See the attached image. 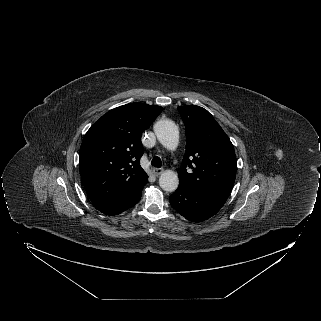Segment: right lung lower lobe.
I'll return each instance as SVG.
<instances>
[{
  "label": "right lung lower lobe",
  "mask_w": 321,
  "mask_h": 321,
  "mask_svg": "<svg viewBox=\"0 0 321 321\" xmlns=\"http://www.w3.org/2000/svg\"><path fill=\"white\" fill-rule=\"evenodd\" d=\"M141 198V197H140ZM140 198L134 200L131 203H128L124 206H120V207H107V208H99L96 207L97 210H99L100 212L107 214V215H117L120 214L121 212L127 210L128 208L134 206L139 200Z\"/></svg>",
  "instance_id": "obj_1"
}]
</instances>
